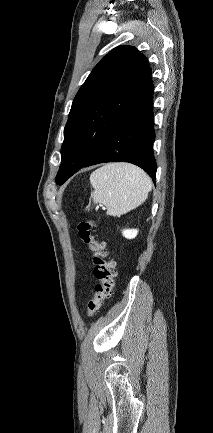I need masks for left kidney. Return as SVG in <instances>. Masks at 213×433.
I'll list each match as a JSON object with an SVG mask.
<instances>
[{
	"instance_id": "1",
	"label": "left kidney",
	"mask_w": 213,
	"mask_h": 433,
	"mask_svg": "<svg viewBox=\"0 0 213 433\" xmlns=\"http://www.w3.org/2000/svg\"><path fill=\"white\" fill-rule=\"evenodd\" d=\"M122 234L127 239H133L137 236L138 230L137 229H125L122 231Z\"/></svg>"
}]
</instances>
